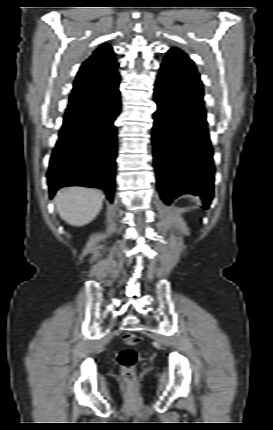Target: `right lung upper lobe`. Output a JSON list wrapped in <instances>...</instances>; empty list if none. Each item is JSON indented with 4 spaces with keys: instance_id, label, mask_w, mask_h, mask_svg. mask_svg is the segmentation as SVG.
Returning <instances> with one entry per match:
<instances>
[{
    "instance_id": "right-lung-upper-lobe-1",
    "label": "right lung upper lobe",
    "mask_w": 273,
    "mask_h": 430,
    "mask_svg": "<svg viewBox=\"0 0 273 430\" xmlns=\"http://www.w3.org/2000/svg\"><path fill=\"white\" fill-rule=\"evenodd\" d=\"M117 68L118 63L114 59L112 48L108 44L97 48L80 67L67 110L86 103L90 97L91 88L102 84L105 80L119 76Z\"/></svg>"
}]
</instances>
